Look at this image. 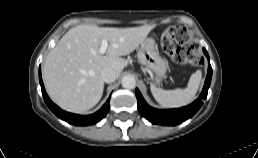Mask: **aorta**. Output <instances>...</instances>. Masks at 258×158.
Wrapping results in <instances>:
<instances>
[{"label":"aorta","instance_id":"1","mask_svg":"<svg viewBox=\"0 0 258 158\" xmlns=\"http://www.w3.org/2000/svg\"><path fill=\"white\" fill-rule=\"evenodd\" d=\"M136 85V80L133 76H124L122 78V86L126 89H133Z\"/></svg>","mask_w":258,"mask_h":158}]
</instances>
